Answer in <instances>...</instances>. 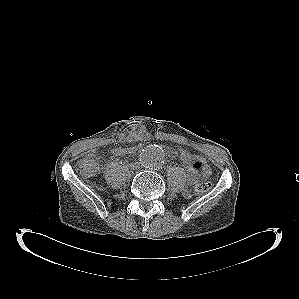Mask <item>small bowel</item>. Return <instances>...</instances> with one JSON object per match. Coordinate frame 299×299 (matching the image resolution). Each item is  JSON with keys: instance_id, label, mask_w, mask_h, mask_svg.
Wrapping results in <instances>:
<instances>
[{"instance_id": "small-bowel-1", "label": "small bowel", "mask_w": 299, "mask_h": 299, "mask_svg": "<svg viewBox=\"0 0 299 299\" xmlns=\"http://www.w3.org/2000/svg\"><path fill=\"white\" fill-rule=\"evenodd\" d=\"M139 150V146L131 147H119L112 150V155L122 156L128 154H134ZM188 170V181L191 184L198 182L205 178L208 174V168L205 162L198 156L195 157V161L192 165L187 167Z\"/></svg>"}]
</instances>
